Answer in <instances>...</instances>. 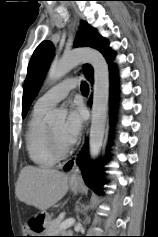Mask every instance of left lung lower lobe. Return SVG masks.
Returning <instances> with one entry per match:
<instances>
[{
	"label": "left lung lower lobe",
	"mask_w": 158,
	"mask_h": 237,
	"mask_svg": "<svg viewBox=\"0 0 158 237\" xmlns=\"http://www.w3.org/2000/svg\"><path fill=\"white\" fill-rule=\"evenodd\" d=\"M109 70L111 80V120L114 121V117L116 114L117 99H118L117 98L118 77H117L116 65L114 63L109 65ZM80 160H81V171L85 183L90 188H92L96 193H99L101 191L102 178L100 176L99 168L97 167V165H94L90 162L87 146H85V148L81 151ZM72 164H73L72 161L68 162L65 165L64 169L70 170Z\"/></svg>",
	"instance_id": "1"
}]
</instances>
